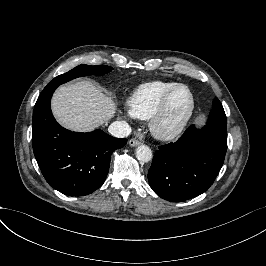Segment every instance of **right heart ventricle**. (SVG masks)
I'll return each mask as SVG.
<instances>
[{"mask_svg":"<svg viewBox=\"0 0 266 266\" xmlns=\"http://www.w3.org/2000/svg\"><path fill=\"white\" fill-rule=\"evenodd\" d=\"M179 83L173 80H153L139 85L129 99L132 115L140 120H148L164 94Z\"/></svg>","mask_w":266,"mask_h":266,"instance_id":"right-heart-ventricle-1","label":"right heart ventricle"}]
</instances>
